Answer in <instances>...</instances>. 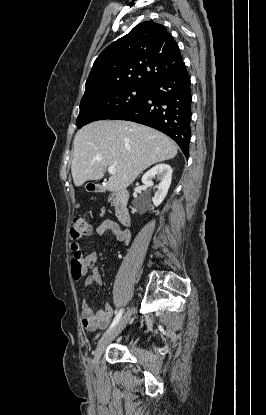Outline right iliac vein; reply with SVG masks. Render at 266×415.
Masks as SVG:
<instances>
[{"label": "right iliac vein", "instance_id": "1", "mask_svg": "<svg viewBox=\"0 0 266 415\" xmlns=\"http://www.w3.org/2000/svg\"><path fill=\"white\" fill-rule=\"evenodd\" d=\"M132 314V309H129L123 317L119 320V322L107 333L105 334L98 342L95 356H94V363L98 364L101 355L103 354L107 345L116 338V336L122 332V330L126 327L130 316Z\"/></svg>", "mask_w": 266, "mask_h": 415}]
</instances>
